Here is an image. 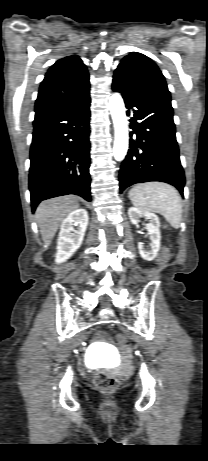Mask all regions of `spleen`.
Segmentation results:
<instances>
[{"instance_id": "spleen-1", "label": "spleen", "mask_w": 208, "mask_h": 461, "mask_svg": "<svg viewBox=\"0 0 208 461\" xmlns=\"http://www.w3.org/2000/svg\"><path fill=\"white\" fill-rule=\"evenodd\" d=\"M132 204L142 211L156 212L178 229L182 220V199L173 186L163 182L135 185L128 193Z\"/></svg>"}]
</instances>
